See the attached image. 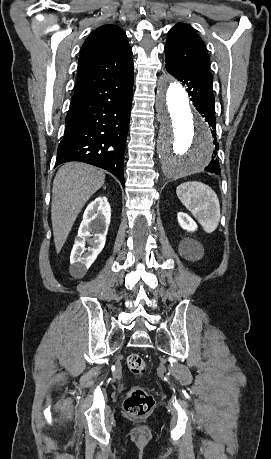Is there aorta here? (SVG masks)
<instances>
[{
    "label": "aorta",
    "instance_id": "1",
    "mask_svg": "<svg viewBox=\"0 0 271 459\" xmlns=\"http://www.w3.org/2000/svg\"><path fill=\"white\" fill-rule=\"evenodd\" d=\"M156 107L161 124L157 151L163 173L178 178L201 171L211 160L213 143L204 122L193 115L185 88L163 75Z\"/></svg>",
    "mask_w": 271,
    "mask_h": 459
}]
</instances>
